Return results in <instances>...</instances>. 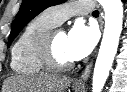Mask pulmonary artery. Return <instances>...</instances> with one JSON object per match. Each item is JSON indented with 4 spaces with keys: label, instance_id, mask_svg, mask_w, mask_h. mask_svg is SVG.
Listing matches in <instances>:
<instances>
[{
    "label": "pulmonary artery",
    "instance_id": "e3ab8cb5",
    "mask_svg": "<svg viewBox=\"0 0 127 92\" xmlns=\"http://www.w3.org/2000/svg\"><path fill=\"white\" fill-rule=\"evenodd\" d=\"M95 9V3L91 1H76L50 7L46 13L57 25L75 14H88Z\"/></svg>",
    "mask_w": 127,
    "mask_h": 92
}]
</instances>
